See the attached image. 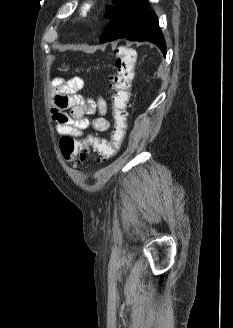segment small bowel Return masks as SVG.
<instances>
[{
    "mask_svg": "<svg viewBox=\"0 0 233 328\" xmlns=\"http://www.w3.org/2000/svg\"><path fill=\"white\" fill-rule=\"evenodd\" d=\"M52 86V118L60 135L84 139L86 138L84 131L89 127L98 132L109 130L110 122L105 117L107 102L102 97L95 100L79 95L78 92L84 86L82 78L77 76L68 80L55 78ZM67 109L70 110L69 113L65 112ZM95 114L96 117H90Z\"/></svg>",
    "mask_w": 233,
    "mask_h": 328,
    "instance_id": "obj_1",
    "label": "small bowel"
}]
</instances>
